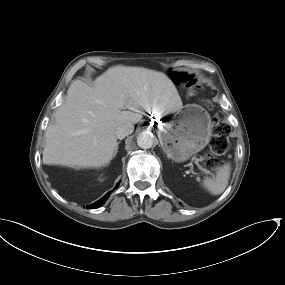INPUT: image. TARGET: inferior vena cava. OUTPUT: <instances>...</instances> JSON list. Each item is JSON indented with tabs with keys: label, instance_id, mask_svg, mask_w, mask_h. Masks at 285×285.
Listing matches in <instances>:
<instances>
[{
	"label": "inferior vena cava",
	"instance_id": "1",
	"mask_svg": "<svg viewBox=\"0 0 285 285\" xmlns=\"http://www.w3.org/2000/svg\"><path fill=\"white\" fill-rule=\"evenodd\" d=\"M134 130V126L130 123H126V124H123L121 126H119L116 131H115V136L118 138V139H123L125 138L126 136H128L129 134H131Z\"/></svg>",
	"mask_w": 285,
	"mask_h": 285
}]
</instances>
